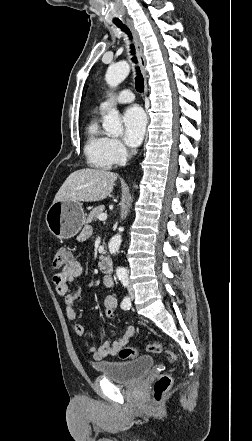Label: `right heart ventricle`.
Here are the masks:
<instances>
[{
  "mask_svg": "<svg viewBox=\"0 0 252 441\" xmlns=\"http://www.w3.org/2000/svg\"><path fill=\"white\" fill-rule=\"evenodd\" d=\"M84 154L90 166L110 169L115 163L109 151L110 138L100 129L98 119L92 117L85 129Z\"/></svg>",
  "mask_w": 252,
  "mask_h": 441,
  "instance_id": "right-heart-ventricle-1",
  "label": "right heart ventricle"
}]
</instances>
